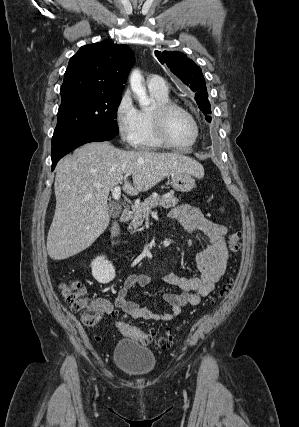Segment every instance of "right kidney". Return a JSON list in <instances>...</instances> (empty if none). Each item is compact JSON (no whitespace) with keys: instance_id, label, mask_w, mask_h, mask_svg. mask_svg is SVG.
Returning a JSON list of instances; mask_svg holds the SVG:
<instances>
[{"instance_id":"1","label":"right kidney","mask_w":299,"mask_h":427,"mask_svg":"<svg viewBox=\"0 0 299 427\" xmlns=\"http://www.w3.org/2000/svg\"><path fill=\"white\" fill-rule=\"evenodd\" d=\"M92 276L102 284H107L115 278V269L104 256L97 257L91 263Z\"/></svg>"}]
</instances>
